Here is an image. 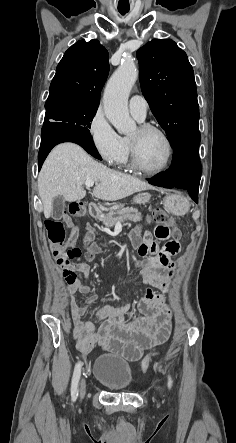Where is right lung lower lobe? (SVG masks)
<instances>
[{
	"label": "right lung lower lobe",
	"instance_id": "1",
	"mask_svg": "<svg viewBox=\"0 0 236 443\" xmlns=\"http://www.w3.org/2000/svg\"><path fill=\"white\" fill-rule=\"evenodd\" d=\"M41 134V146L38 154L39 170L51 149L62 142L77 143L93 157L102 160L92 142L91 136L76 132L70 127V124L51 122L43 125Z\"/></svg>",
	"mask_w": 236,
	"mask_h": 443
}]
</instances>
